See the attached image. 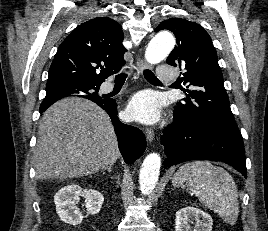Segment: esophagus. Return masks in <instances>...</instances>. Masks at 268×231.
Wrapping results in <instances>:
<instances>
[{"instance_id": "esophagus-1", "label": "esophagus", "mask_w": 268, "mask_h": 231, "mask_svg": "<svg viewBox=\"0 0 268 231\" xmlns=\"http://www.w3.org/2000/svg\"><path fill=\"white\" fill-rule=\"evenodd\" d=\"M150 65L143 58H139L136 63V70L138 74H142V72L148 69ZM146 138L149 142H152L154 139V131L151 128L146 129Z\"/></svg>"}]
</instances>
